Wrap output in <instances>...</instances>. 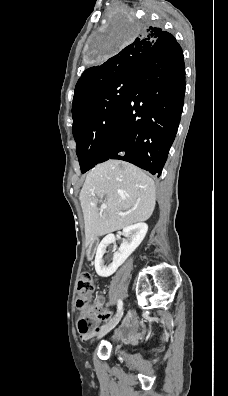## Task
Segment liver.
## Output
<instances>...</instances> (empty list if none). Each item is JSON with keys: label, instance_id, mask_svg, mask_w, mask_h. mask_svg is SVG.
Segmentation results:
<instances>
[{"label": "liver", "instance_id": "1", "mask_svg": "<svg viewBox=\"0 0 228 396\" xmlns=\"http://www.w3.org/2000/svg\"><path fill=\"white\" fill-rule=\"evenodd\" d=\"M79 199L89 245L99 236L148 220L155 208V185L133 164L108 160L89 171ZM99 202L107 206L102 213Z\"/></svg>", "mask_w": 228, "mask_h": 396}]
</instances>
